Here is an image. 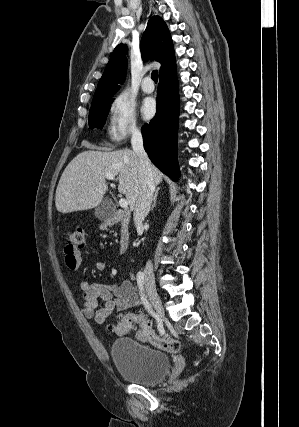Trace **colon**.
<instances>
[{
  "label": "colon",
  "mask_w": 299,
  "mask_h": 427,
  "mask_svg": "<svg viewBox=\"0 0 299 427\" xmlns=\"http://www.w3.org/2000/svg\"><path fill=\"white\" fill-rule=\"evenodd\" d=\"M67 246L65 251L73 253L84 245L85 234L81 227L70 230L66 235ZM141 326V331L145 336L151 338L152 343L158 348L169 353H177L180 350V342L168 336H159L153 333L150 323L141 314H126L119 321L112 325V331L116 334L132 333L136 325Z\"/></svg>",
  "instance_id": "obj_1"
}]
</instances>
